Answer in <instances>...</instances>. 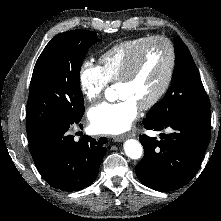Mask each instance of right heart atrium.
<instances>
[{
  "instance_id": "d8ad5b80",
  "label": "right heart atrium",
  "mask_w": 221,
  "mask_h": 221,
  "mask_svg": "<svg viewBox=\"0 0 221 221\" xmlns=\"http://www.w3.org/2000/svg\"><path fill=\"white\" fill-rule=\"evenodd\" d=\"M79 84L85 100L95 102L102 97L109 81L100 66L86 60L80 68Z\"/></svg>"
}]
</instances>
